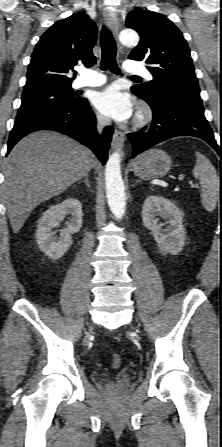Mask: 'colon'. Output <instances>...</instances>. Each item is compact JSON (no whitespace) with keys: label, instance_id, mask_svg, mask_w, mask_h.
<instances>
[{"label":"colon","instance_id":"5ec220e1","mask_svg":"<svg viewBox=\"0 0 222 447\" xmlns=\"http://www.w3.org/2000/svg\"><path fill=\"white\" fill-rule=\"evenodd\" d=\"M121 356L119 354H113L112 355V365L114 368H118L121 365Z\"/></svg>","mask_w":222,"mask_h":447}]
</instances>
